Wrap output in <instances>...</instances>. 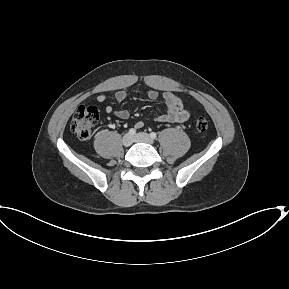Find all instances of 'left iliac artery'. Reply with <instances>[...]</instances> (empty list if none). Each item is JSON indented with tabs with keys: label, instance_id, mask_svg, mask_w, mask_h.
<instances>
[{
	"label": "left iliac artery",
	"instance_id": "44dca946",
	"mask_svg": "<svg viewBox=\"0 0 289 289\" xmlns=\"http://www.w3.org/2000/svg\"><path fill=\"white\" fill-rule=\"evenodd\" d=\"M150 137H151L152 139H155V138L157 137V134H156L155 132H151V133H150Z\"/></svg>",
	"mask_w": 289,
	"mask_h": 289
}]
</instances>
